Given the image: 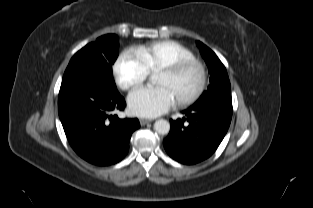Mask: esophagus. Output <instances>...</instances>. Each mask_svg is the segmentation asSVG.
I'll use <instances>...</instances> for the list:
<instances>
[{"instance_id": "esophagus-1", "label": "esophagus", "mask_w": 313, "mask_h": 208, "mask_svg": "<svg viewBox=\"0 0 313 208\" xmlns=\"http://www.w3.org/2000/svg\"><path fill=\"white\" fill-rule=\"evenodd\" d=\"M152 120H150V119H144V118H141L140 119V124H141V126H144V125H146L147 123H150Z\"/></svg>"}]
</instances>
